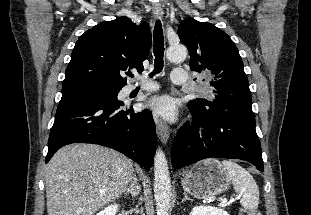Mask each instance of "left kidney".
I'll return each mask as SVG.
<instances>
[{
  "label": "left kidney",
  "mask_w": 311,
  "mask_h": 215,
  "mask_svg": "<svg viewBox=\"0 0 311 215\" xmlns=\"http://www.w3.org/2000/svg\"><path fill=\"white\" fill-rule=\"evenodd\" d=\"M190 215H229L225 210L211 206H196Z\"/></svg>",
  "instance_id": "obj_1"
}]
</instances>
